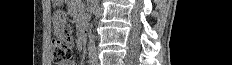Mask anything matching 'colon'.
<instances>
[{"mask_svg":"<svg viewBox=\"0 0 232 65\" xmlns=\"http://www.w3.org/2000/svg\"><path fill=\"white\" fill-rule=\"evenodd\" d=\"M72 37H60L53 42V61L62 65L72 59Z\"/></svg>","mask_w":232,"mask_h":65,"instance_id":"colon-1","label":"colon"}]
</instances>
